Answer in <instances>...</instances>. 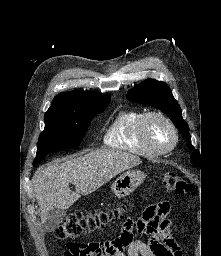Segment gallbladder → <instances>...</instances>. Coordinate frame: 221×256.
Wrapping results in <instances>:
<instances>
[{"label":"gallbladder","instance_id":"gallbladder-1","mask_svg":"<svg viewBox=\"0 0 221 256\" xmlns=\"http://www.w3.org/2000/svg\"><path fill=\"white\" fill-rule=\"evenodd\" d=\"M66 211L55 208L48 213L44 228L47 232L53 231L64 219Z\"/></svg>","mask_w":221,"mask_h":256}]
</instances>
